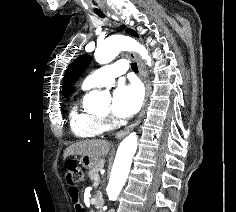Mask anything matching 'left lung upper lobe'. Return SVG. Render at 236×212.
Wrapping results in <instances>:
<instances>
[{
    "instance_id": "left-lung-upper-lobe-1",
    "label": "left lung upper lobe",
    "mask_w": 236,
    "mask_h": 212,
    "mask_svg": "<svg viewBox=\"0 0 236 212\" xmlns=\"http://www.w3.org/2000/svg\"><path fill=\"white\" fill-rule=\"evenodd\" d=\"M127 32L133 36H137L136 32L128 29ZM91 62L89 55H81L76 58L66 71L63 82V94L68 96L75 82L79 79L85 69Z\"/></svg>"
}]
</instances>
